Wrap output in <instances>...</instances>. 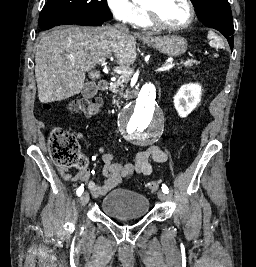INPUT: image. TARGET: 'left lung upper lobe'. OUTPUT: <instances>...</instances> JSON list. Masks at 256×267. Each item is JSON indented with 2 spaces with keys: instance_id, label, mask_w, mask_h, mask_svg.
<instances>
[{
  "instance_id": "left-lung-upper-lobe-1",
  "label": "left lung upper lobe",
  "mask_w": 256,
  "mask_h": 267,
  "mask_svg": "<svg viewBox=\"0 0 256 267\" xmlns=\"http://www.w3.org/2000/svg\"><path fill=\"white\" fill-rule=\"evenodd\" d=\"M198 16L207 27L217 29L228 40L233 49V19L228 0H192Z\"/></svg>"
}]
</instances>
